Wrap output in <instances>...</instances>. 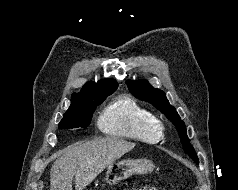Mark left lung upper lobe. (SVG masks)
Listing matches in <instances>:
<instances>
[{"instance_id": "left-lung-upper-lobe-1", "label": "left lung upper lobe", "mask_w": 238, "mask_h": 190, "mask_svg": "<svg viewBox=\"0 0 238 190\" xmlns=\"http://www.w3.org/2000/svg\"><path fill=\"white\" fill-rule=\"evenodd\" d=\"M130 92L137 98L154 105L176 126L184 151L197 163L198 157L189 143L185 123L181 120L175 108L169 104L166 95L160 89H154L147 81H127Z\"/></svg>"}]
</instances>
